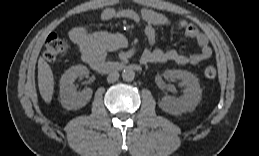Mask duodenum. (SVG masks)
Returning <instances> with one entry per match:
<instances>
[{
    "instance_id": "duodenum-1",
    "label": "duodenum",
    "mask_w": 259,
    "mask_h": 156,
    "mask_svg": "<svg viewBox=\"0 0 259 156\" xmlns=\"http://www.w3.org/2000/svg\"><path fill=\"white\" fill-rule=\"evenodd\" d=\"M92 68L99 73H113L117 71H125V70H133L139 71L141 66L139 64H127L124 62H105V61H97L92 63Z\"/></svg>"
}]
</instances>
